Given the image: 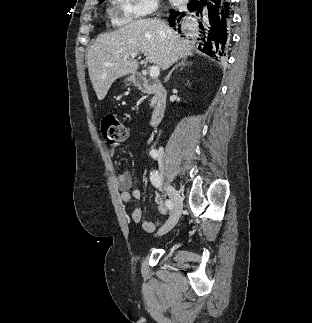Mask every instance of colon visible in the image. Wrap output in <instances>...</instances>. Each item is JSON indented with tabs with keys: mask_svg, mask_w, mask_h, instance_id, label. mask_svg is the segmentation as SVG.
I'll use <instances>...</instances> for the list:
<instances>
[{
	"mask_svg": "<svg viewBox=\"0 0 312 323\" xmlns=\"http://www.w3.org/2000/svg\"><path fill=\"white\" fill-rule=\"evenodd\" d=\"M101 132L106 143L114 144L125 139L127 129L120 119L115 115H105L101 119Z\"/></svg>",
	"mask_w": 312,
	"mask_h": 323,
	"instance_id": "obj_1",
	"label": "colon"
}]
</instances>
